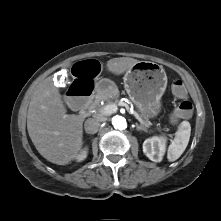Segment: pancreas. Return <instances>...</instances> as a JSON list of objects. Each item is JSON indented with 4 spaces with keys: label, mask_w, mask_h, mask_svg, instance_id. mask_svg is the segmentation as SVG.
<instances>
[{
    "label": "pancreas",
    "mask_w": 221,
    "mask_h": 221,
    "mask_svg": "<svg viewBox=\"0 0 221 221\" xmlns=\"http://www.w3.org/2000/svg\"><path fill=\"white\" fill-rule=\"evenodd\" d=\"M99 102V99L98 100H96L95 102H93V103H91L90 104V106H89V109L90 110H95V109H97V110H102L103 109V107L101 108V107H98L97 106V103ZM116 103H118V104H121V102L120 101H118V100H116L115 101V103H112V104H116ZM111 104V103H110ZM124 106H126V107H128V105L127 104H125L124 103ZM134 114H137L138 115V113H136V112H134ZM139 116V115H138ZM140 117V116H139ZM141 118V117H140ZM142 119V118H141ZM142 121H143V123H144V125L146 126V127H149L150 125H151V122L148 120V119H146L145 118V120H143L142 119Z\"/></svg>",
    "instance_id": "obj_1"
}]
</instances>
